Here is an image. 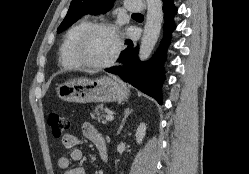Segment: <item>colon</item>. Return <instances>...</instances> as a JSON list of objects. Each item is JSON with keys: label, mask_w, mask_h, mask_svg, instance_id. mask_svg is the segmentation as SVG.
Listing matches in <instances>:
<instances>
[{"label": "colon", "mask_w": 249, "mask_h": 174, "mask_svg": "<svg viewBox=\"0 0 249 174\" xmlns=\"http://www.w3.org/2000/svg\"><path fill=\"white\" fill-rule=\"evenodd\" d=\"M47 124L53 136L57 138L64 136L70 128L69 119L57 111H52L47 115Z\"/></svg>", "instance_id": "obj_1"}]
</instances>
